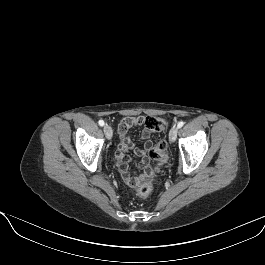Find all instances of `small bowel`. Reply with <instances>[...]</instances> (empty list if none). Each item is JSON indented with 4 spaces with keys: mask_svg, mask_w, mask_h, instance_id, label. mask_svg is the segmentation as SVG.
Returning a JSON list of instances; mask_svg holds the SVG:
<instances>
[{
    "mask_svg": "<svg viewBox=\"0 0 265 265\" xmlns=\"http://www.w3.org/2000/svg\"><path fill=\"white\" fill-rule=\"evenodd\" d=\"M142 120V117H127L124 118L118 126L120 144L116 153V160L124 181L132 185L137 182V178L129 172V164L126 154L129 151H133L138 156H144L146 152L152 147V142L150 140V131L146 128L143 129L141 133V137L144 140V145L142 148L136 147L128 136V131L130 128L143 125Z\"/></svg>",
    "mask_w": 265,
    "mask_h": 265,
    "instance_id": "c3829d8e",
    "label": "small bowel"
}]
</instances>
